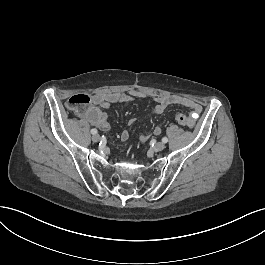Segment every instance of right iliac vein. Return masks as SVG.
<instances>
[{
  "label": "right iliac vein",
  "instance_id": "obj_1",
  "mask_svg": "<svg viewBox=\"0 0 265 265\" xmlns=\"http://www.w3.org/2000/svg\"><path fill=\"white\" fill-rule=\"evenodd\" d=\"M91 139L93 142H98L100 141V136L98 134H94Z\"/></svg>",
  "mask_w": 265,
  "mask_h": 265
}]
</instances>
